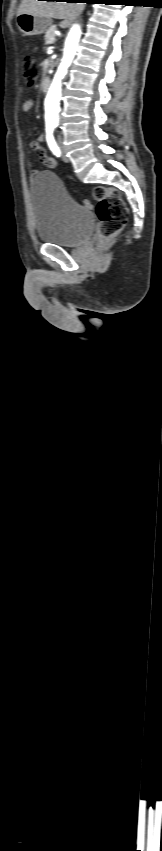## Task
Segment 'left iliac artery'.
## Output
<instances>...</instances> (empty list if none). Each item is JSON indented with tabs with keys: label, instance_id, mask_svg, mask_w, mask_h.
<instances>
[{
	"label": "left iliac artery",
	"instance_id": "1",
	"mask_svg": "<svg viewBox=\"0 0 162 851\" xmlns=\"http://www.w3.org/2000/svg\"><path fill=\"white\" fill-rule=\"evenodd\" d=\"M55 127H56V124H47V126H46V141H47V144H48L50 150L53 152V154L56 155L57 157H59L61 152H60V149H59V147H58V145H57V143L54 139V136H53V131H54Z\"/></svg>",
	"mask_w": 162,
	"mask_h": 851
}]
</instances>
